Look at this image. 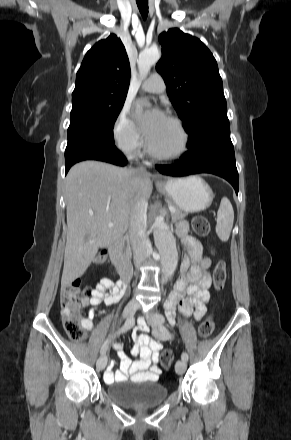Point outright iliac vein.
Masks as SVG:
<instances>
[{
    "label": "right iliac vein",
    "mask_w": 291,
    "mask_h": 440,
    "mask_svg": "<svg viewBox=\"0 0 291 440\" xmlns=\"http://www.w3.org/2000/svg\"><path fill=\"white\" fill-rule=\"evenodd\" d=\"M139 308V305L136 301L131 300L129 301V303L126 305L124 311H123V317H129L131 315H133ZM107 364V357L106 355H102L98 358L97 362H96V366L99 370H103L106 367Z\"/></svg>",
    "instance_id": "right-iliac-vein-1"
}]
</instances>
